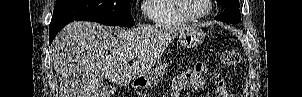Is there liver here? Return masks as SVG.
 <instances>
[{"label": "liver", "mask_w": 302, "mask_h": 97, "mask_svg": "<svg viewBox=\"0 0 302 97\" xmlns=\"http://www.w3.org/2000/svg\"><path fill=\"white\" fill-rule=\"evenodd\" d=\"M185 29L178 25L113 29L87 21L66 25L51 45L59 97H102L104 78L119 86L129 84L148 73Z\"/></svg>", "instance_id": "obj_1"}]
</instances>
